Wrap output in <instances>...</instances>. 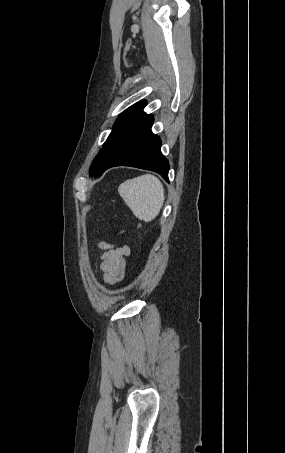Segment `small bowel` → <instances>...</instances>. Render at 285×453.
<instances>
[{
    "label": "small bowel",
    "mask_w": 285,
    "mask_h": 453,
    "mask_svg": "<svg viewBox=\"0 0 285 453\" xmlns=\"http://www.w3.org/2000/svg\"><path fill=\"white\" fill-rule=\"evenodd\" d=\"M98 247L103 250L100 269L104 281L108 284L120 282L125 275V257L130 252L129 248L127 246L115 247L106 242H100Z\"/></svg>",
    "instance_id": "small-bowel-1"
}]
</instances>
